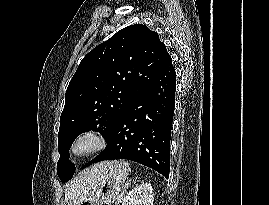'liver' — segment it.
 Here are the masks:
<instances>
[{
    "instance_id": "1",
    "label": "liver",
    "mask_w": 269,
    "mask_h": 205,
    "mask_svg": "<svg viewBox=\"0 0 269 205\" xmlns=\"http://www.w3.org/2000/svg\"><path fill=\"white\" fill-rule=\"evenodd\" d=\"M111 164V162H100L83 172H81L66 188L65 200H72L85 195L89 192L98 176Z\"/></svg>"
}]
</instances>
